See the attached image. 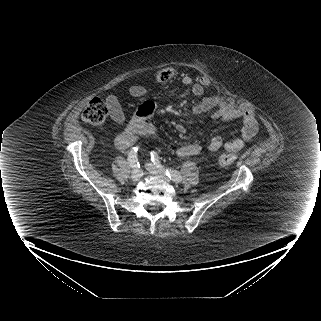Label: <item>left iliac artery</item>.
Instances as JSON below:
<instances>
[{
  "instance_id": "1",
  "label": "left iliac artery",
  "mask_w": 321,
  "mask_h": 321,
  "mask_svg": "<svg viewBox=\"0 0 321 321\" xmlns=\"http://www.w3.org/2000/svg\"><path fill=\"white\" fill-rule=\"evenodd\" d=\"M151 161L158 167V168H162L160 161H159V157L155 152H151ZM166 175L174 182H181L182 180V176L180 175L179 172L174 171V170H169L166 169L164 170Z\"/></svg>"
}]
</instances>
